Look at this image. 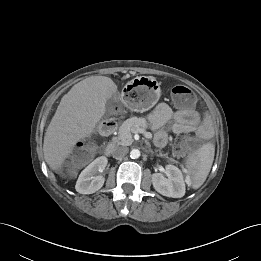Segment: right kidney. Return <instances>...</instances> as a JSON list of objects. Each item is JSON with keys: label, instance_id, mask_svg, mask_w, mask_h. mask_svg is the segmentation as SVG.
Returning a JSON list of instances; mask_svg holds the SVG:
<instances>
[{"label": "right kidney", "instance_id": "obj_1", "mask_svg": "<svg viewBox=\"0 0 261 261\" xmlns=\"http://www.w3.org/2000/svg\"><path fill=\"white\" fill-rule=\"evenodd\" d=\"M107 158L101 156L90 163L79 175L75 189L80 194H92L98 191L104 184L105 178L99 172H103L107 165Z\"/></svg>", "mask_w": 261, "mask_h": 261}]
</instances>
